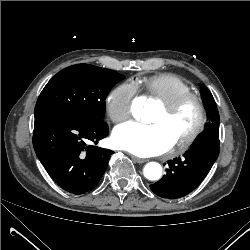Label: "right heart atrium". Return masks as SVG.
Instances as JSON below:
<instances>
[{"instance_id":"1","label":"right heart atrium","mask_w":250,"mask_h":250,"mask_svg":"<svg viewBox=\"0 0 250 250\" xmlns=\"http://www.w3.org/2000/svg\"><path fill=\"white\" fill-rule=\"evenodd\" d=\"M136 88L131 83H122L109 91L105 98V109L113 122L128 118L133 110Z\"/></svg>"}]
</instances>
